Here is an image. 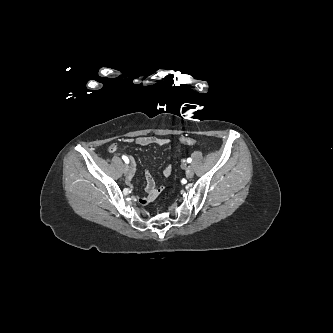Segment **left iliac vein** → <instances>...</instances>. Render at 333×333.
Returning a JSON list of instances; mask_svg holds the SVG:
<instances>
[{"instance_id": "4c4485c4", "label": "left iliac vein", "mask_w": 333, "mask_h": 333, "mask_svg": "<svg viewBox=\"0 0 333 333\" xmlns=\"http://www.w3.org/2000/svg\"><path fill=\"white\" fill-rule=\"evenodd\" d=\"M185 171H186V177L187 178H192L194 175L193 169L191 166H187L185 167Z\"/></svg>"}]
</instances>
